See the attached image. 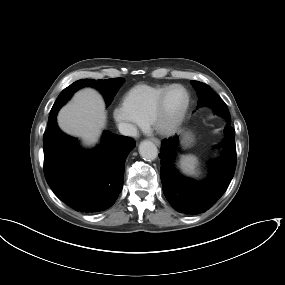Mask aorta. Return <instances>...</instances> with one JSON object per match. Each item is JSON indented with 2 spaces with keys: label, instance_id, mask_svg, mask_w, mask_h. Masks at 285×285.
Masks as SVG:
<instances>
[{
  "label": "aorta",
  "instance_id": "1",
  "mask_svg": "<svg viewBox=\"0 0 285 285\" xmlns=\"http://www.w3.org/2000/svg\"><path fill=\"white\" fill-rule=\"evenodd\" d=\"M139 154L143 159L153 161L158 156V149L153 142L144 140L139 145Z\"/></svg>",
  "mask_w": 285,
  "mask_h": 285
}]
</instances>
